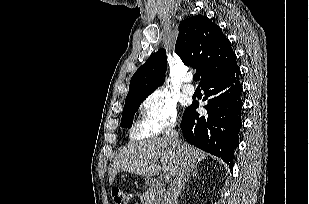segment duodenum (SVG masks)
<instances>
[{
	"mask_svg": "<svg viewBox=\"0 0 309 204\" xmlns=\"http://www.w3.org/2000/svg\"><path fill=\"white\" fill-rule=\"evenodd\" d=\"M148 185L151 189L150 196L153 202L160 203L165 196V190L161 182L157 179L151 178L148 180Z\"/></svg>",
	"mask_w": 309,
	"mask_h": 204,
	"instance_id": "obj_1",
	"label": "duodenum"
}]
</instances>
